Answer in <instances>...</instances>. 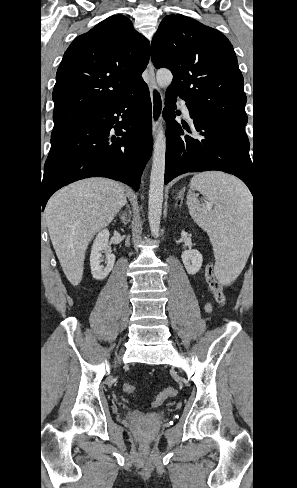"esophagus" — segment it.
Segmentation results:
<instances>
[{
    "instance_id": "obj_1",
    "label": "esophagus",
    "mask_w": 297,
    "mask_h": 488,
    "mask_svg": "<svg viewBox=\"0 0 297 488\" xmlns=\"http://www.w3.org/2000/svg\"><path fill=\"white\" fill-rule=\"evenodd\" d=\"M147 72L149 76V91L152 104V129L153 134L156 135L157 128L162 118L164 98L159 87L156 84L154 67L151 60L149 61Z\"/></svg>"
}]
</instances>
